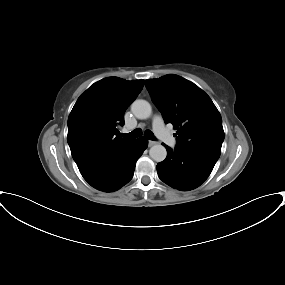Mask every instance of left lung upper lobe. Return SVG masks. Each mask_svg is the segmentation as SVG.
<instances>
[{
  "label": "left lung upper lobe",
  "instance_id": "obj_1",
  "mask_svg": "<svg viewBox=\"0 0 285 285\" xmlns=\"http://www.w3.org/2000/svg\"><path fill=\"white\" fill-rule=\"evenodd\" d=\"M145 85L165 122L177 129V146L218 160L224 131L221 115L210 97L174 74L146 80Z\"/></svg>",
  "mask_w": 285,
  "mask_h": 285
}]
</instances>
